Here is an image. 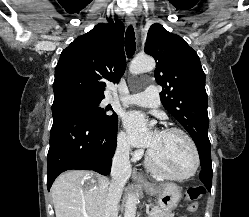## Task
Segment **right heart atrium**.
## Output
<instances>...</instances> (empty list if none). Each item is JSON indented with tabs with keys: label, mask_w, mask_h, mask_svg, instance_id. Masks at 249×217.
Listing matches in <instances>:
<instances>
[{
	"label": "right heart atrium",
	"mask_w": 249,
	"mask_h": 217,
	"mask_svg": "<svg viewBox=\"0 0 249 217\" xmlns=\"http://www.w3.org/2000/svg\"><path fill=\"white\" fill-rule=\"evenodd\" d=\"M117 148H118V151L123 156H128L131 153L130 142H129L127 134L124 131H121L118 133ZM133 156L134 158H136L138 156V153L137 152L133 153Z\"/></svg>",
	"instance_id": "obj_1"
}]
</instances>
